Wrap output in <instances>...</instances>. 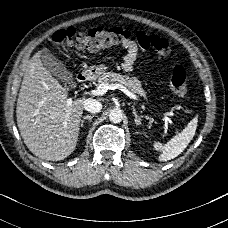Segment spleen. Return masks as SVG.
I'll return each instance as SVG.
<instances>
[{
	"instance_id": "spleen-1",
	"label": "spleen",
	"mask_w": 228,
	"mask_h": 228,
	"mask_svg": "<svg viewBox=\"0 0 228 228\" xmlns=\"http://www.w3.org/2000/svg\"><path fill=\"white\" fill-rule=\"evenodd\" d=\"M198 119L194 118L188 125L176 136H174L167 144L162 145L160 142L154 143L155 150L161 151L160 161H168L180 155L193 139Z\"/></svg>"
}]
</instances>
